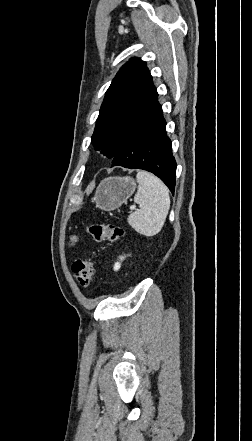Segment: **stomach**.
<instances>
[{
	"label": "stomach",
	"instance_id": "stomach-1",
	"mask_svg": "<svg viewBox=\"0 0 252 441\" xmlns=\"http://www.w3.org/2000/svg\"><path fill=\"white\" fill-rule=\"evenodd\" d=\"M136 183L130 177H108L98 186L93 201L104 211L115 210L134 193Z\"/></svg>",
	"mask_w": 252,
	"mask_h": 441
}]
</instances>
